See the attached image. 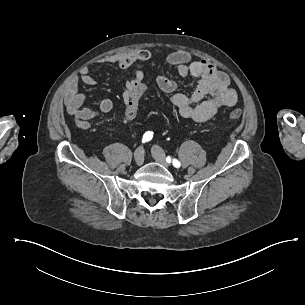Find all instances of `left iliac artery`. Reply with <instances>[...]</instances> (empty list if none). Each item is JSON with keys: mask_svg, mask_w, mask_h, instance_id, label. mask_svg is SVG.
Wrapping results in <instances>:
<instances>
[{"mask_svg": "<svg viewBox=\"0 0 305 305\" xmlns=\"http://www.w3.org/2000/svg\"><path fill=\"white\" fill-rule=\"evenodd\" d=\"M166 161H167L168 163H170V162H171V157L168 156V157L166 158ZM172 164H173V166L176 167V168H179V167L181 166V163H180L177 159H173V160H172Z\"/></svg>", "mask_w": 305, "mask_h": 305, "instance_id": "44dca946", "label": "left iliac artery"}]
</instances>
